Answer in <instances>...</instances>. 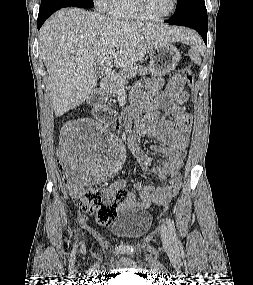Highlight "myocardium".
<instances>
[{
	"label": "myocardium",
	"mask_w": 253,
	"mask_h": 285,
	"mask_svg": "<svg viewBox=\"0 0 253 285\" xmlns=\"http://www.w3.org/2000/svg\"><path fill=\"white\" fill-rule=\"evenodd\" d=\"M133 2H134V7L140 18L148 21H160L171 16L176 11L178 5V0H173L172 7L167 13L160 16H150L145 13L142 5V0H133Z\"/></svg>",
	"instance_id": "f54148a6"
}]
</instances>
